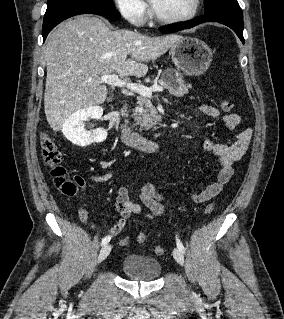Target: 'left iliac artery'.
Listing matches in <instances>:
<instances>
[{"label":"left iliac artery","mask_w":284,"mask_h":319,"mask_svg":"<svg viewBox=\"0 0 284 319\" xmlns=\"http://www.w3.org/2000/svg\"><path fill=\"white\" fill-rule=\"evenodd\" d=\"M176 244H177L178 249H179L182 253H184V252H185V248H184L182 242L180 241V239H179L178 237H176Z\"/></svg>","instance_id":"obj_1"}]
</instances>
